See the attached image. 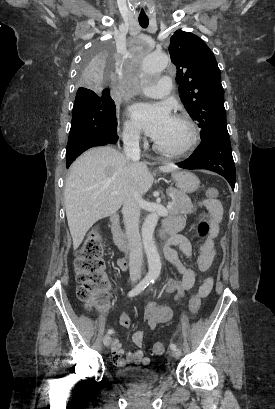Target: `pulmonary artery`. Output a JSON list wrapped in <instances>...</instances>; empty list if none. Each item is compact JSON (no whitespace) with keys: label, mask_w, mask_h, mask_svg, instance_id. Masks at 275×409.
I'll return each instance as SVG.
<instances>
[{"label":"pulmonary artery","mask_w":275,"mask_h":409,"mask_svg":"<svg viewBox=\"0 0 275 409\" xmlns=\"http://www.w3.org/2000/svg\"><path fill=\"white\" fill-rule=\"evenodd\" d=\"M170 76L164 75L163 78L159 81V86L161 87V92L159 91L158 85H151L145 88V95H148L152 98H159L162 94H174L175 87L170 85Z\"/></svg>","instance_id":"obj_1"}]
</instances>
